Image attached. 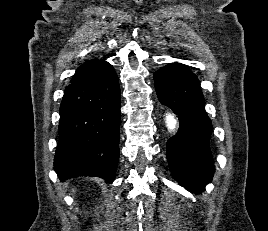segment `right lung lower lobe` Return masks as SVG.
I'll list each match as a JSON object with an SVG mask.
<instances>
[{
	"label": "right lung lower lobe",
	"mask_w": 268,
	"mask_h": 231,
	"mask_svg": "<svg viewBox=\"0 0 268 231\" xmlns=\"http://www.w3.org/2000/svg\"><path fill=\"white\" fill-rule=\"evenodd\" d=\"M120 87L102 61L65 89L54 169L61 181L83 175L112 183L119 159Z\"/></svg>",
	"instance_id": "right-lung-lower-lobe-1"
}]
</instances>
